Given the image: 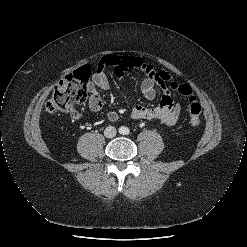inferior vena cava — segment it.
<instances>
[{
  "label": "inferior vena cava",
  "mask_w": 247,
  "mask_h": 247,
  "mask_svg": "<svg viewBox=\"0 0 247 247\" xmlns=\"http://www.w3.org/2000/svg\"><path fill=\"white\" fill-rule=\"evenodd\" d=\"M116 128L113 126H108L105 130H104V135L107 138H113L116 135Z\"/></svg>",
  "instance_id": "602c4592"
}]
</instances>
